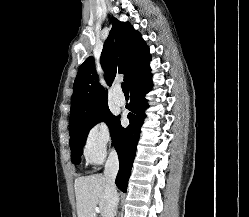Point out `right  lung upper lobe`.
Instances as JSON below:
<instances>
[{"label":"right lung upper lobe","mask_w":249,"mask_h":217,"mask_svg":"<svg viewBox=\"0 0 249 217\" xmlns=\"http://www.w3.org/2000/svg\"><path fill=\"white\" fill-rule=\"evenodd\" d=\"M149 60V48L141 34L129 22L113 18L100 58L106 82L111 85L116 75L123 73L129 85ZM73 90L70 120L107 103V94L99 85L93 57L79 67Z\"/></svg>","instance_id":"cb5924a9"}]
</instances>
